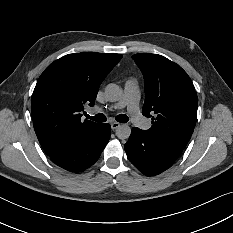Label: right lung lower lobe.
Segmentation results:
<instances>
[{"mask_svg": "<svg viewBox=\"0 0 233 233\" xmlns=\"http://www.w3.org/2000/svg\"><path fill=\"white\" fill-rule=\"evenodd\" d=\"M111 135V126L101 124L93 133L70 143L48 156L59 167L71 172H82L93 165L101 155Z\"/></svg>", "mask_w": 233, "mask_h": 233, "instance_id": "obj_1", "label": "right lung lower lobe"}]
</instances>
